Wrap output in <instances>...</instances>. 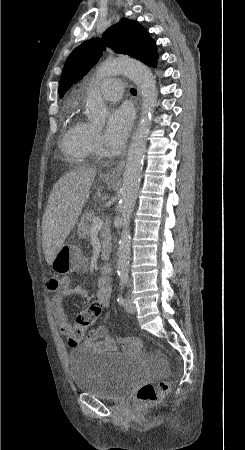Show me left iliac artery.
Wrapping results in <instances>:
<instances>
[{"instance_id":"1","label":"left iliac artery","mask_w":245,"mask_h":450,"mask_svg":"<svg viewBox=\"0 0 245 450\" xmlns=\"http://www.w3.org/2000/svg\"><path fill=\"white\" fill-rule=\"evenodd\" d=\"M126 284H127V278L124 277V276H121L120 277L119 294H118V297H117V302H118V304L120 306L124 305V299H123V296H122V291H123L124 287L126 286Z\"/></svg>"}]
</instances>
